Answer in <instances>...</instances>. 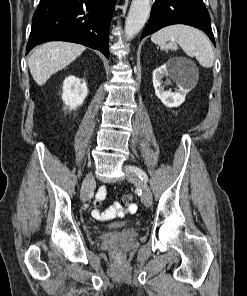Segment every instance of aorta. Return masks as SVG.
Returning a JSON list of instances; mask_svg holds the SVG:
<instances>
[{
  "label": "aorta",
  "instance_id": "1",
  "mask_svg": "<svg viewBox=\"0 0 247 296\" xmlns=\"http://www.w3.org/2000/svg\"><path fill=\"white\" fill-rule=\"evenodd\" d=\"M151 11L150 0H132L125 21V38L131 40L145 25Z\"/></svg>",
  "mask_w": 247,
  "mask_h": 296
}]
</instances>
